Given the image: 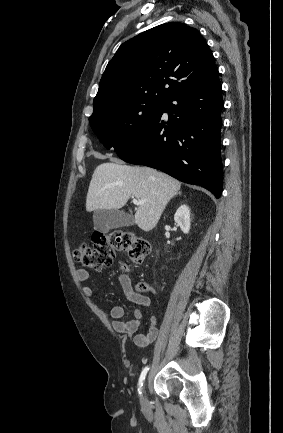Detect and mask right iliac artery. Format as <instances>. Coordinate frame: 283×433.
Instances as JSON below:
<instances>
[{"mask_svg":"<svg viewBox=\"0 0 283 433\" xmlns=\"http://www.w3.org/2000/svg\"><path fill=\"white\" fill-rule=\"evenodd\" d=\"M148 370H149V367H145L143 369V371L141 372V375L139 378V388H138L139 394H141V387L143 386V380L145 379V376H146Z\"/></svg>","mask_w":283,"mask_h":433,"instance_id":"1","label":"right iliac artery"}]
</instances>
